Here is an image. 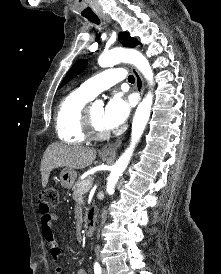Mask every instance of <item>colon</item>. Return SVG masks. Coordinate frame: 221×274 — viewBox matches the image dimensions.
I'll list each match as a JSON object with an SVG mask.
<instances>
[{"label": "colon", "mask_w": 221, "mask_h": 274, "mask_svg": "<svg viewBox=\"0 0 221 274\" xmlns=\"http://www.w3.org/2000/svg\"><path fill=\"white\" fill-rule=\"evenodd\" d=\"M41 201L49 207H54L59 202V192L54 187L46 188L42 191Z\"/></svg>", "instance_id": "obj_1"}]
</instances>
